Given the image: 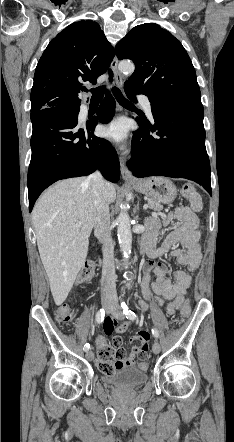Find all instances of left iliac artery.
<instances>
[{"mask_svg":"<svg viewBox=\"0 0 234 442\" xmlns=\"http://www.w3.org/2000/svg\"><path fill=\"white\" fill-rule=\"evenodd\" d=\"M122 312L126 316V318L130 320H134L136 318V314L128 308L124 301L121 302ZM152 334L155 338L159 337V333L156 329H152Z\"/></svg>","mask_w":234,"mask_h":442,"instance_id":"obj_1","label":"left iliac artery"}]
</instances>
